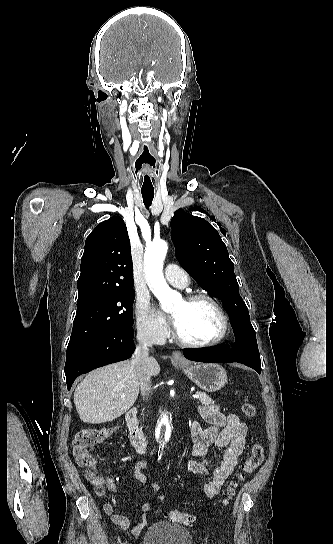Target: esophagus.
Wrapping results in <instances>:
<instances>
[{"label":"esophagus","mask_w":333,"mask_h":544,"mask_svg":"<svg viewBox=\"0 0 333 544\" xmlns=\"http://www.w3.org/2000/svg\"><path fill=\"white\" fill-rule=\"evenodd\" d=\"M172 358L175 361L184 362L185 359L183 358L182 354L179 351H173L172 352Z\"/></svg>","instance_id":"34e87169"}]
</instances>
